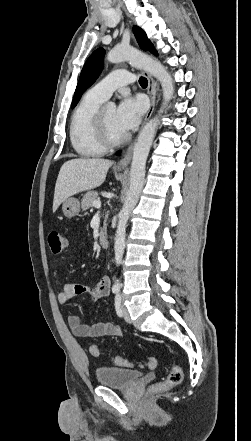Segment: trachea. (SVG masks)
Instances as JSON below:
<instances>
[{
  "mask_svg": "<svg viewBox=\"0 0 251 441\" xmlns=\"http://www.w3.org/2000/svg\"><path fill=\"white\" fill-rule=\"evenodd\" d=\"M139 84H140L142 87H146L147 84H148V81H147V79H146L145 77H140V78H139Z\"/></svg>",
  "mask_w": 251,
  "mask_h": 441,
  "instance_id": "3493384b",
  "label": "trachea"
}]
</instances>
